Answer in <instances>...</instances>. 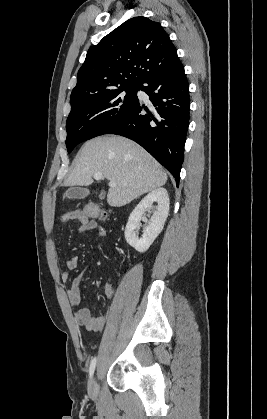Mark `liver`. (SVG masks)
Segmentation results:
<instances>
[{
	"label": "liver",
	"instance_id": "6515ba94",
	"mask_svg": "<svg viewBox=\"0 0 267 419\" xmlns=\"http://www.w3.org/2000/svg\"><path fill=\"white\" fill-rule=\"evenodd\" d=\"M102 173L116 183L107 202L121 207L139 196L163 186L167 173L140 145L122 136H101L87 141L65 186H88L93 175Z\"/></svg>",
	"mask_w": 267,
	"mask_h": 419
}]
</instances>
